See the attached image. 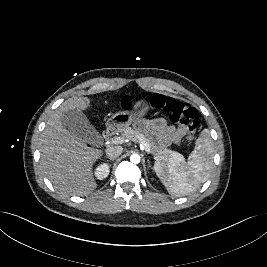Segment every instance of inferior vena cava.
I'll return each instance as SVG.
<instances>
[{
    "mask_svg": "<svg viewBox=\"0 0 267 267\" xmlns=\"http://www.w3.org/2000/svg\"><path fill=\"white\" fill-rule=\"evenodd\" d=\"M123 152V148L121 146H110L106 149V155L108 158L115 159L120 156Z\"/></svg>",
    "mask_w": 267,
    "mask_h": 267,
    "instance_id": "1",
    "label": "inferior vena cava"
}]
</instances>
